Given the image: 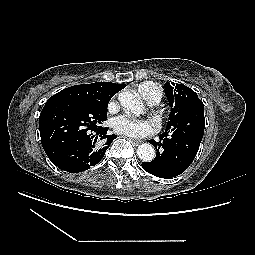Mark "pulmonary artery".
<instances>
[{
	"instance_id": "pulmonary-artery-1",
	"label": "pulmonary artery",
	"mask_w": 255,
	"mask_h": 255,
	"mask_svg": "<svg viewBox=\"0 0 255 255\" xmlns=\"http://www.w3.org/2000/svg\"><path fill=\"white\" fill-rule=\"evenodd\" d=\"M144 100L149 104L154 105L160 101L159 95L156 93L155 89L150 86V84H145L144 87Z\"/></svg>"
}]
</instances>
